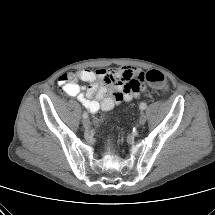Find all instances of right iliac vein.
Instances as JSON below:
<instances>
[{"instance_id":"63e3f726","label":"right iliac vein","mask_w":215,"mask_h":215,"mask_svg":"<svg viewBox=\"0 0 215 215\" xmlns=\"http://www.w3.org/2000/svg\"><path fill=\"white\" fill-rule=\"evenodd\" d=\"M83 126L86 128V129H89L90 128V121L89 119H84L83 121Z\"/></svg>"}]
</instances>
